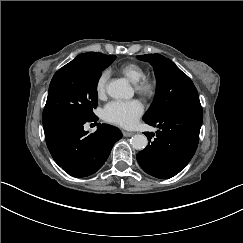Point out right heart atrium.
I'll return each instance as SVG.
<instances>
[{
  "label": "right heart atrium",
  "mask_w": 243,
  "mask_h": 243,
  "mask_svg": "<svg viewBox=\"0 0 243 243\" xmlns=\"http://www.w3.org/2000/svg\"><path fill=\"white\" fill-rule=\"evenodd\" d=\"M110 70L104 69L102 70L95 80V94L98 99H103L107 94V84L110 79Z\"/></svg>",
  "instance_id": "right-heart-atrium-1"
}]
</instances>
